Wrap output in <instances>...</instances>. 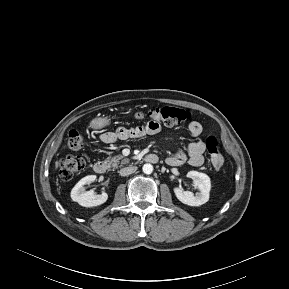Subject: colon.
<instances>
[{
  "instance_id": "1",
  "label": "colon",
  "mask_w": 289,
  "mask_h": 289,
  "mask_svg": "<svg viewBox=\"0 0 289 289\" xmlns=\"http://www.w3.org/2000/svg\"><path fill=\"white\" fill-rule=\"evenodd\" d=\"M190 117L186 110L175 107H157L147 111H140L136 118L142 121L163 123L167 126H175L184 123ZM84 139L80 130H71L68 134L64 148L76 151L83 147ZM213 167L219 169L224 164V158L220 151V141L215 135H210L206 141ZM86 158L83 155H69L63 159L59 167V175L62 181H70L85 167Z\"/></svg>"
}]
</instances>
